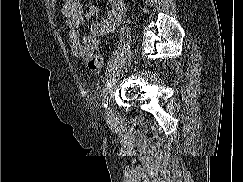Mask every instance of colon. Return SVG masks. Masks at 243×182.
I'll return each instance as SVG.
<instances>
[{"instance_id":"colon-1","label":"colon","mask_w":243,"mask_h":182,"mask_svg":"<svg viewBox=\"0 0 243 182\" xmlns=\"http://www.w3.org/2000/svg\"><path fill=\"white\" fill-rule=\"evenodd\" d=\"M103 67V57L100 54L93 55L88 60V68L92 71H100Z\"/></svg>"}]
</instances>
